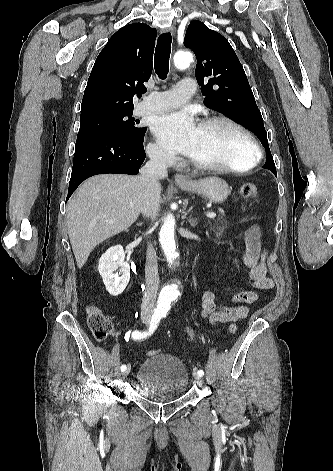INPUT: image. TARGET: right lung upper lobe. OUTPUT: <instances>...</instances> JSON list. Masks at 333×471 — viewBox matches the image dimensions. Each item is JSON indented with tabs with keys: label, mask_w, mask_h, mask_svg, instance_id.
Returning <instances> with one entry per match:
<instances>
[{
	"label": "right lung upper lobe",
	"mask_w": 333,
	"mask_h": 471,
	"mask_svg": "<svg viewBox=\"0 0 333 471\" xmlns=\"http://www.w3.org/2000/svg\"><path fill=\"white\" fill-rule=\"evenodd\" d=\"M157 31L143 23L126 25L111 36L92 68L81 119L133 110V97L147 91Z\"/></svg>",
	"instance_id": "obj_1"
}]
</instances>
